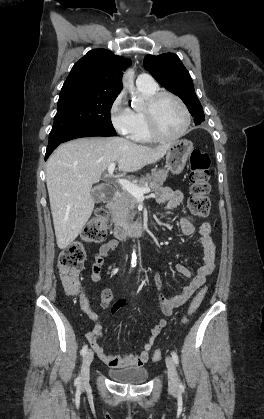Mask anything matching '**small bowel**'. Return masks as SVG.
I'll list each match as a JSON object with an SVG mask.
<instances>
[{
    "instance_id": "small-bowel-1",
    "label": "small bowel",
    "mask_w": 264,
    "mask_h": 419,
    "mask_svg": "<svg viewBox=\"0 0 264 419\" xmlns=\"http://www.w3.org/2000/svg\"><path fill=\"white\" fill-rule=\"evenodd\" d=\"M156 200L159 204L163 205V210H169L177 207L183 201V193L180 190L163 187L157 191ZM194 222L193 217L182 216L178 219V226L184 235L190 236L195 232ZM210 233V223L207 221L202 222L199 226V243L202 247L203 258L195 275H192L190 270L184 265L178 264L175 266V270L178 273L190 279L188 284L183 287L179 294L171 297H165L162 293V282L160 276L158 274L153 276L154 283L158 290L160 307L166 317L171 316L175 308L181 306L189 300L193 293L205 283L206 277L214 271L216 266L217 250ZM117 246L118 241L116 239H111L100 246L91 264L90 277L92 281H100L101 268L104 260ZM100 298L102 305L108 307L112 300V292L110 289L104 288L101 292ZM81 305L88 317L95 323L94 328L86 333V338L89 341L91 348L102 362L113 368L143 366L149 359V354L157 336L163 331L168 323V320L163 318L155 324V326L150 330L148 338L143 344L139 354H112L106 352L98 342V339L102 335V325L99 321L98 315L90 309V306L85 299H82ZM125 305L126 303L124 300L115 302L111 307V314H115Z\"/></svg>"
}]
</instances>
